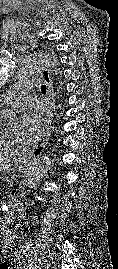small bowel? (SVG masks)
Here are the masks:
<instances>
[{
	"mask_svg": "<svg viewBox=\"0 0 118 269\" xmlns=\"http://www.w3.org/2000/svg\"><path fill=\"white\" fill-rule=\"evenodd\" d=\"M15 242H16L15 236L13 234H11L9 231H5V234H4L3 238H2L1 243L4 246H9V245L14 244ZM8 268H12V267H8Z\"/></svg>",
	"mask_w": 118,
	"mask_h": 269,
	"instance_id": "c3829d8e",
	"label": "small bowel"
}]
</instances>
